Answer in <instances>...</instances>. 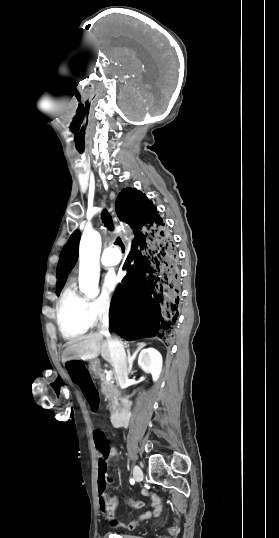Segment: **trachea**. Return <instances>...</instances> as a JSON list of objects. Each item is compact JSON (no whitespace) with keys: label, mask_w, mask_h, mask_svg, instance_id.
<instances>
[{"label":"trachea","mask_w":279,"mask_h":538,"mask_svg":"<svg viewBox=\"0 0 279 538\" xmlns=\"http://www.w3.org/2000/svg\"><path fill=\"white\" fill-rule=\"evenodd\" d=\"M101 218H102V221H103L104 225L108 229H113L114 228L112 217H111V215L108 213V211L106 209H104L103 212L101 213ZM114 243H115V245H119L121 247H124L121 238H117V240Z\"/></svg>","instance_id":"trachea-1"}]
</instances>
